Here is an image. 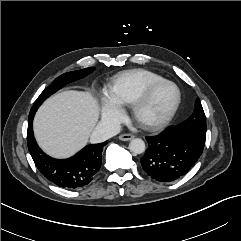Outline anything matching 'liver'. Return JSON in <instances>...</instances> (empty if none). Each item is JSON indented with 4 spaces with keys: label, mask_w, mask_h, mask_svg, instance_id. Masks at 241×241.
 Listing matches in <instances>:
<instances>
[{
    "label": "liver",
    "mask_w": 241,
    "mask_h": 241,
    "mask_svg": "<svg viewBox=\"0 0 241 241\" xmlns=\"http://www.w3.org/2000/svg\"><path fill=\"white\" fill-rule=\"evenodd\" d=\"M99 118L89 92L64 91L47 99L34 118L39 146L50 156L67 158L83 148Z\"/></svg>",
    "instance_id": "obj_1"
}]
</instances>
